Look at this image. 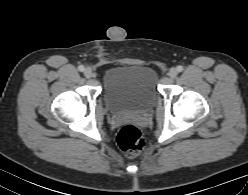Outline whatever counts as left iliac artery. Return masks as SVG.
<instances>
[{
	"label": "left iliac artery",
	"instance_id": "1",
	"mask_svg": "<svg viewBox=\"0 0 248 195\" xmlns=\"http://www.w3.org/2000/svg\"><path fill=\"white\" fill-rule=\"evenodd\" d=\"M177 70H178V72H181V71H183V67L182 66H178L177 67Z\"/></svg>",
	"mask_w": 248,
	"mask_h": 195
}]
</instances>
